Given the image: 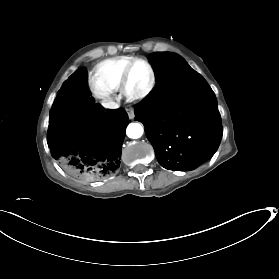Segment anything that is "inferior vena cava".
<instances>
[{"instance_id":"602c4592","label":"inferior vena cava","mask_w":279,"mask_h":279,"mask_svg":"<svg viewBox=\"0 0 279 279\" xmlns=\"http://www.w3.org/2000/svg\"><path fill=\"white\" fill-rule=\"evenodd\" d=\"M109 100H104L105 102L103 103V106L105 108H111V109H115L118 108V104L113 102L111 98H108Z\"/></svg>"}]
</instances>
